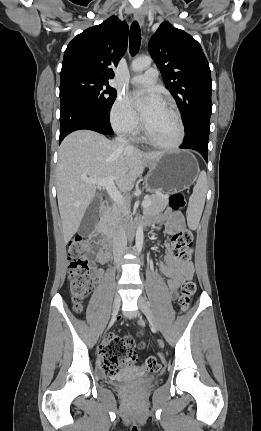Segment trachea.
Masks as SVG:
<instances>
[{
    "label": "trachea",
    "mask_w": 261,
    "mask_h": 431,
    "mask_svg": "<svg viewBox=\"0 0 261 431\" xmlns=\"http://www.w3.org/2000/svg\"><path fill=\"white\" fill-rule=\"evenodd\" d=\"M141 45V31L138 22L134 21L130 28L129 46L130 53L135 55Z\"/></svg>",
    "instance_id": "obj_1"
}]
</instances>
